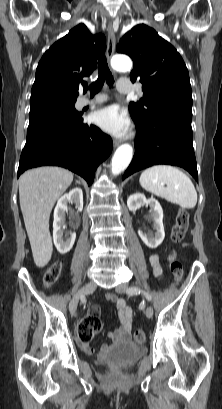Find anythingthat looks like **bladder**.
<instances>
[{
	"mask_svg": "<svg viewBox=\"0 0 222 409\" xmlns=\"http://www.w3.org/2000/svg\"><path fill=\"white\" fill-rule=\"evenodd\" d=\"M146 349L132 342L115 344L96 356L98 365H117L129 368L141 356Z\"/></svg>",
	"mask_w": 222,
	"mask_h": 409,
	"instance_id": "1",
	"label": "bladder"
}]
</instances>
